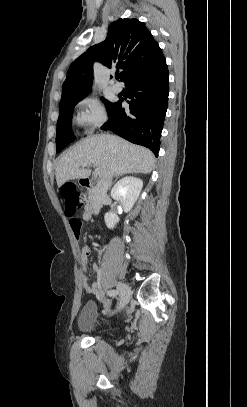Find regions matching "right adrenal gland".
Here are the masks:
<instances>
[{"mask_svg": "<svg viewBox=\"0 0 247 407\" xmlns=\"http://www.w3.org/2000/svg\"><path fill=\"white\" fill-rule=\"evenodd\" d=\"M116 179H117V178H116ZM112 185H113V182L110 184L109 188H111V187H112Z\"/></svg>", "mask_w": 247, "mask_h": 407, "instance_id": "1", "label": "right adrenal gland"}]
</instances>
